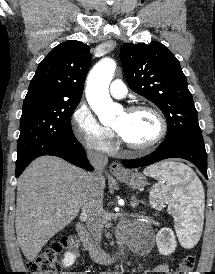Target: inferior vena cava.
Masks as SVG:
<instances>
[{
    "label": "inferior vena cava",
    "mask_w": 215,
    "mask_h": 274,
    "mask_svg": "<svg viewBox=\"0 0 215 274\" xmlns=\"http://www.w3.org/2000/svg\"><path fill=\"white\" fill-rule=\"evenodd\" d=\"M87 157L94 171L88 176L81 215L86 220L94 243L99 246L104 226L102 171L108 163V157L93 149L87 151Z\"/></svg>",
    "instance_id": "inferior-vena-cava-1"
}]
</instances>
